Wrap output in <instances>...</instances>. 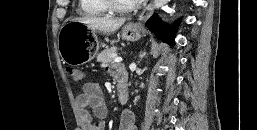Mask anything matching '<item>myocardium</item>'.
Returning <instances> with one entry per match:
<instances>
[{
  "label": "myocardium",
  "instance_id": "obj_1",
  "mask_svg": "<svg viewBox=\"0 0 257 130\" xmlns=\"http://www.w3.org/2000/svg\"><path fill=\"white\" fill-rule=\"evenodd\" d=\"M99 1L107 9V11H111L115 13L132 12V11H135L140 6L139 1L129 6H121L115 0H99Z\"/></svg>",
  "mask_w": 257,
  "mask_h": 130
}]
</instances>
